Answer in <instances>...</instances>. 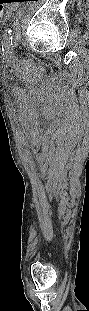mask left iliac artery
<instances>
[{"mask_svg":"<svg viewBox=\"0 0 89 311\" xmlns=\"http://www.w3.org/2000/svg\"><path fill=\"white\" fill-rule=\"evenodd\" d=\"M2 47H4L6 50L12 47V29L11 28H8L3 35Z\"/></svg>","mask_w":89,"mask_h":311,"instance_id":"1","label":"left iliac artery"}]
</instances>
